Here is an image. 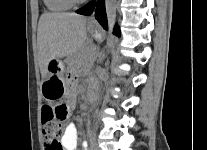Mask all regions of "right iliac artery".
<instances>
[{
    "mask_svg": "<svg viewBox=\"0 0 207 150\" xmlns=\"http://www.w3.org/2000/svg\"><path fill=\"white\" fill-rule=\"evenodd\" d=\"M83 145L86 147L87 146V143L85 142Z\"/></svg>",
    "mask_w": 207,
    "mask_h": 150,
    "instance_id": "1",
    "label": "right iliac artery"
}]
</instances>
